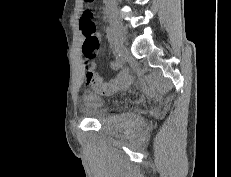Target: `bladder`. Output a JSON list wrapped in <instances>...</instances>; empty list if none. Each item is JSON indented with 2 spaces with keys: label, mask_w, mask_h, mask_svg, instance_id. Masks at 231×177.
<instances>
[{
  "label": "bladder",
  "mask_w": 231,
  "mask_h": 177,
  "mask_svg": "<svg viewBox=\"0 0 231 177\" xmlns=\"http://www.w3.org/2000/svg\"><path fill=\"white\" fill-rule=\"evenodd\" d=\"M81 107L90 114H99L107 105L104 97L94 91H85L80 98Z\"/></svg>",
  "instance_id": "31cf9c89"
}]
</instances>
